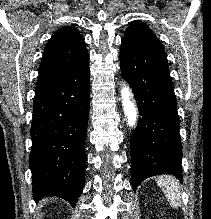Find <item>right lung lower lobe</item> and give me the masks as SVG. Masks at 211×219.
<instances>
[{
  "instance_id": "98d812e1",
  "label": "right lung lower lobe",
  "mask_w": 211,
  "mask_h": 219,
  "mask_svg": "<svg viewBox=\"0 0 211 219\" xmlns=\"http://www.w3.org/2000/svg\"><path fill=\"white\" fill-rule=\"evenodd\" d=\"M89 107L88 60L35 91L29 157L35 200L52 195L76 205L84 187Z\"/></svg>"
}]
</instances>
